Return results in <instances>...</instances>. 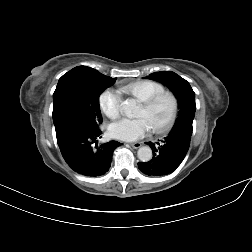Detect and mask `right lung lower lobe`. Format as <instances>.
Returning a JSON list of instances; mask_svg holds the SVG:
<instances>
[{
    "instance_id": "98d812e1",
    "label": "right lung lower lobe",
    "mask_w": 252,
    "mask_h": 252,
    "mask_svg": "<svg viewBox=\"0 0 252 252\" xmlns=\"http://www.w3.org/2000/svg\"><path fill=\"white\" fill-rule=\"evenodd\" d=\"M101 134L100 129H89L77 125H67L56 129L57 143L66 163L78 174L98 177L111 166L114 150L122 145L110 141L93 145Z\"/></svg>"
}]
</instances>
